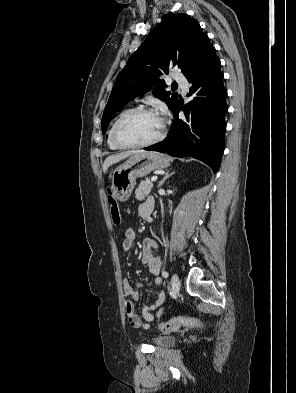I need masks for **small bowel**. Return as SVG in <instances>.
I'll list each match as a JSON object with an SVG mask.
<instances>
[{"mask_svg": "<svg viewBox=\"0 0 296 393\" xmlns=\"http://www.w3.org/2000/svg\"><path fill=\"white\" fill-rule=\"evenodd\" d=\"M154 209V201L149 198L145 202L139 205L138 215L148 221L152 220V212ZM136 240V233L133 229H127L124 233V239L122 242V248L124 251H129ZM158 248L157 242L152 238H145L142 242V256L141 260L144 265H146L148 272L155 275V284L161 286L162 279L158 276L161 270L162 261L159 257L154 255V251ZM124 294L133 300H138L140 298L139 291L128 281L123 284ZM166 301L165 292L159 289L158 297L153 304L145 305L142 309V317L144 321L139 317L136 312L133 302L128 301L125 304V311L127 319L130 325L134 328H144L148 329L150 323L153 322L157 317H159L164 309V304ZM154 311L156 313L154 314Z\"/></svg>", "mask_w": 296, "mask_h": 393, "instance_id": "obj_1", "label": "small bowel"}]
</instances>
